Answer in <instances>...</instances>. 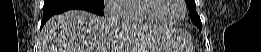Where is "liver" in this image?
Listing matches in <instances>:
<instances>
[{"instance_id": "1", "label": "liver", "mask_w": 261, "mask_h": 52, "mask_svg": "<svg viewBox=\"0 0 261 52\" xmlns=\"http://www.w3.org/2000/svg\"><path fill=\"white\" fill-rule=\"evenodd\" d=\"M164 31H148L142 25H126L114 17H99L70 10L51 17L39 37V52H122L121 44L138 50L157 49Z\"/></svg>"}]
</instances>
